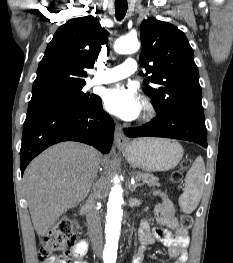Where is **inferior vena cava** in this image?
Wrapping results in <instances>:
<instances>
[{
	"mask_svg": "<svg viewBox=\"0 0 233 263\" xmlns=\"http://www.w3.org/2000/svg\"><path fill=\"white\" fill-rule=\"evenodd\" d=\"M89 236L94 253L100 257L102 254L103 236L99 212L96 209L95 194H92L85 204Z\"/></svg>",
	"mask_w": 233,
	"mask_h": 263,
	"instance_id": "obj_1",
	"label": "inferior vena cava"
}]
</instances>
